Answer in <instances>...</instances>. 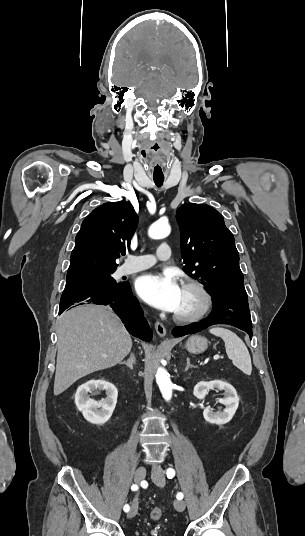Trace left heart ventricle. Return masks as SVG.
Segmentation results:
<instances>
[{
    "label": "left heart ventricle",
    "mask_w": 305,
    "mask_h": 536,
    "mask_svg": "<svg viewBox=\"0 0 305 536\" xmlns=\"http://www.w3.org/2000/svg\"><path fill=\"white\" fill-rule=\"evenodd\" d=\"M202 305L200 294L193 289L181 287V300L175 312L189 313L197 311Z\"/></svg>",
    "instance_id": "b2bd125f"
}]
</instances>
